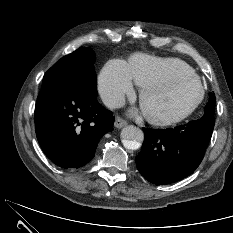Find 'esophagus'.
I'll return each mask as SVG.
<instances>
[{
  "mask_svg": "<svg viewBox=\"0 0 233 233\" xmlns=\"http://www.w3.org/2000/svg\"><path fill=\"white\" fill-rule=\"evenodd\" d=\"M126 124H127V122H126L123 118H121L120 116H116V117H115L114 126H115L116 128H122V127H124Z\"/></svg>",
  "mask_w": 233,
  "mask_h": 233,
  "instance_id": "esophagus-1",
  "label": "esophagus"
}]
</instances>
